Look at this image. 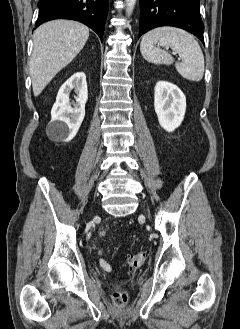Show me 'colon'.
<instances>
[{"instance_id": "5ec220e1", "label": "colon", "mask_w": 240, "mask_h": 329, "mask_svg": "<svg viewBox=\"0 0 240 329\" xmlns=\"http://www.w3.org/2000/svg\"><path fill=\"white\" fill-rule=\"evenodd\" d=\"M104 232L101 233L103 235ZM146 255L143 252H137L128 255L125 258V264L130 272L136 271L145 261ZM112 301L117 306H124L128 302V296L124 292H113L111 295Z\"/></svg>"}]
</instances>
